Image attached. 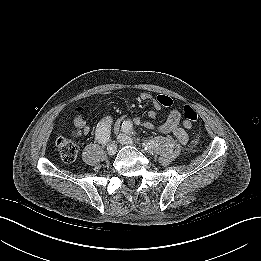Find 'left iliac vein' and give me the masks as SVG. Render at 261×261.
<instances>
[{
	"label": "left iliac vein",
	"instance_id": "obj_1",
	"mask_svg": "<svg viewBox=\"0 0 261 261\" xmlns=\"http://www.w3.org/2000/svg\"><path fill=\"white\" fill-rule=\"evenodd\" d=\"M117 139L121 144H133V140L131 139V137L124 133H120Z\"/></svg>",
	"mask_w": 261,
	"mask_h": 261
}]
</instances>
